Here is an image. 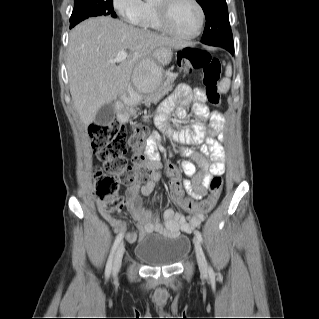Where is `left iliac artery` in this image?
I'll return each instance as SVG.
<instances>
[{
  "label": "left iliac artery",
  "instance_id": "1",
  "mask_svg": "<svg viewBox=\"0 0 319 319\" xmlns=\"http://www.w3.org/2000/svg\"><path fill=\"white\" fill-rule=\"evenodd\" d=\"M195 235H196V237H197V239L200 241V242H202V235H201V233L199 232V231H195ZM209 274L210 275H214V271H213V269L211 268V266H209Z\"/></svg>",
  "mask_w": 319,
  "mask_h": 319
}]
</instances>
